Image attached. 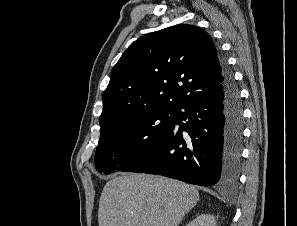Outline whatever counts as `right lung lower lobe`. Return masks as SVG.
I'll return each instance as SVG.
<instances>
[{
  "instance_id": "98d812e1",
  "label": "right lung lower lobe",
  "mask_w": 297,
  "mask_h": 226,
  "mask_svg": "<svg viewBox=\"0 0 297 226\" xmlns=\"http://www.w3.org/2000/svg\"><path fill=\"white\" fill-rule=\"evenodd\" d=\"M221 67L222 83L186 99L177 111L174 126L121 171L159 174L200 186L236 185L243 105L224 59Z\"/></svg>"
}]
</instances>
